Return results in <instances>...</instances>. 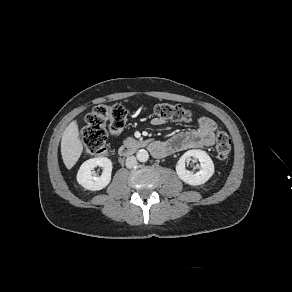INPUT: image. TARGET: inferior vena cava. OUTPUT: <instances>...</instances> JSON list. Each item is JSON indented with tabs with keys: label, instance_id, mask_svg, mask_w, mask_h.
<instances>
[{
	"label": "inferior vena cava",
	"instance_id": "1",
	"mask_svg": "<svg viewBox=\"0 0 292 292\" xmlns=\"http://www.w3.org/2000/svg\"><path fill=\"white\" fill-rule=\"evenodd\" d=\"M125 164H126V167L127 168H133L134 166L137 165V160H136V157L135 156H129L126 158V161H125Z\"/></svg>",
	"mask_w": 292,
	"mask_h": 292
}]
</instances>
